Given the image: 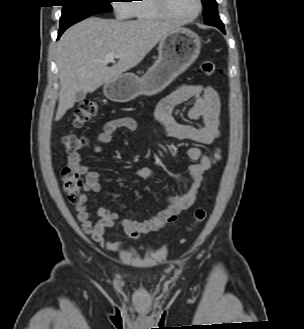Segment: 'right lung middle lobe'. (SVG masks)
Segmentation results:
<instances>
[{
	"instance_id": "dd1d6c3e",
	"label": "right lung middle lobe",
	"mask_w": 304,
	"mask_h": 329,
	"mask_svg": "<svg viewBox=\"0 0 304 329\" xmlns=\"http://www.w3.org/2000/svg\"><path fill=\"white\" fill-rule=\"evenodd\" d=\"M63 10L60 18V30L97 13L111 12V0H62Z\"/></svg>"
}]
</instances>
